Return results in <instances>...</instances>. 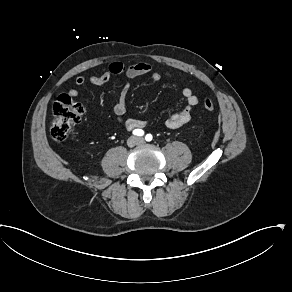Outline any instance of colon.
<instances>
[{
    "instance_id": "1",
    "label": "colon",
    "mask_w": 292,
    "mask_h": 292,
    "mask_svg": "<svg viewBox=\"0 0 292 292\" xmlns=\"http://www.w3.org/2000/svg\"><path fill=\"white\" fill-rule=\"evenodd\" d=\"M215 108L214 100L207 97L203 101L205 112H212ZM53 120L50 134L56 141H63L71 129L79 124L85 114L82 104L75 102L68 94H60L53 105Z\"/></svg>"
}]
</instances>
